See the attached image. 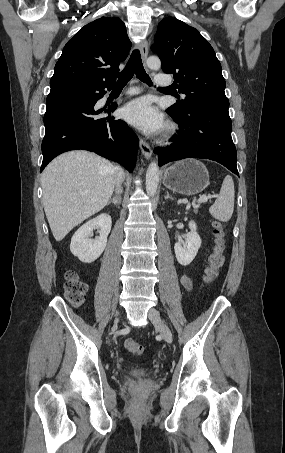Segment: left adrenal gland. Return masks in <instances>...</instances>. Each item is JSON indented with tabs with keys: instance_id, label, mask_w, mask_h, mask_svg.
Segmentation results:
<instances>
[{
	"instance_id": "a2214340",
	"label": "left adrenal gland",
	"mask_w": 285,
	"mask_h": 453,
	"mask_svg": "<svg viewBox=\"0 0 285 453\" xmlns=\"http://www.w3.org/2000/svg\"><path fill=\"white\" fill-rule=\"evenodd\" d=\"M167 199H171V200L174 199L172 196L169 195L168 191H166V196H165V200H167Z\"/></svg>"
}]
</instances>
